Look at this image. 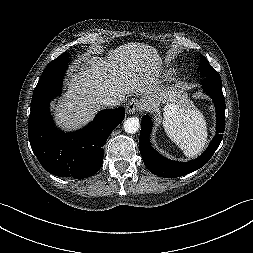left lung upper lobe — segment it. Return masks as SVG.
Wrapping results in <instances>:
<instances>
[{"label": "left lung upper lobe", "instance_id": "1", "mask_svg": "<svg viewBox=\"0 0 253 253\" xmlns=\"http://www.w3.org/2000/svg\"><path fill=\"white\" fill-rule=\"evenodd\" d=\"M200 71L205 77L221 80L217 71L211 67V65L208 63L207 59L204 56L201 57Z\"/></svg>", "mask_w": 253, "mask_h": 253}]
</instances>
